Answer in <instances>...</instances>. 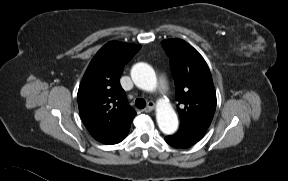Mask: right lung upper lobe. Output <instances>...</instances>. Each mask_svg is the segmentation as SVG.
<instances>
[{
	"instance_id": "cb5924a9",
	"label": "right lung upper lobe",
	"mask_w": 288,
	"mask_h": 181,
	"mask_svg": "<svg viewBox=\"0 0 288 181\" xmlns=\"http://www.w3.org/2000/svg\"><path fill=\"white\" fill-rule=\"evenodd\" d=\"M140 46L112 41L91 60L78 90L82 121L92 137L104 144L121 142L136 115L128 105L119 79Z\"/></svg>"
}]
</instances>
